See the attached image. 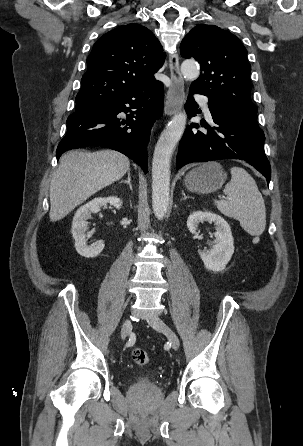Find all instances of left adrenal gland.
Masks as SVG:
<instances>
[{
    "mask_svg": "<svg viewBox=\"0 0 303 446\" xmlns=\"http://www.w3.org/2000/svg\"><path fill=\"white\" fill-rule=\"evenodd\" d=\"M182 196H183L182 200H186L187 198H192L190 196H186L184 190H182Z\"/></svg>",
    "mask_w": 303,
    "mask_h": 446,
    "instance_id": "obj_1",
    "label": "left adrenal gland"
}]
</instances>
